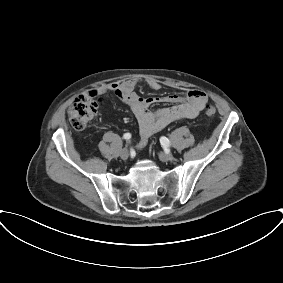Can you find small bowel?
Listing matches in <instances>:
<instances>
[{"label":"small bowel","mask_w":283,"mask_h":283,"mask_svg":"<svg viewBox=\"0 0 283 283\" xmlns=\"http://www.w3.org/2000/svg\"><path fill=\"white\" fill-rule=\"evenodd\" d=\"M146 83L152 90L161 89V84L155 79H149ZM137 84L136 79H129L105 84L87 93L97 96L112 93L130 107L140 128V140L136 146L137 149L144 148L150 136L169 124L180 119L196 117L208 101L207 95L200 90H190L183 96L171 94L163 97L142 98L135 91ZM160 103H170L173 106L163 107L156 111L151 110L153 105Z\"/></svg>","instance_id":"obj_1"}]
</instances>
